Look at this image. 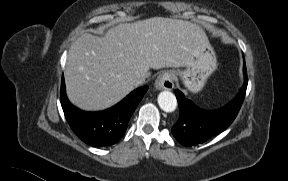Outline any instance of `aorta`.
Returning <instances> with one entry per match:
<instances>
[{
  "label": "aorta",
  "instance_id": "1",
  "mask_svg": "<svg viewBox=\"0 0 288 181\" xmlns=\"http://www.w3.org/2000/svg\"><path fill=\"white\" fill-rule=\"evenodd\" d=\"M158 104L165 112H173L177 107V99L170 91H162L158 95Z\"/></svg>",
  "mask_w": 288,
  "mask_h": 181
}]
</instances>
